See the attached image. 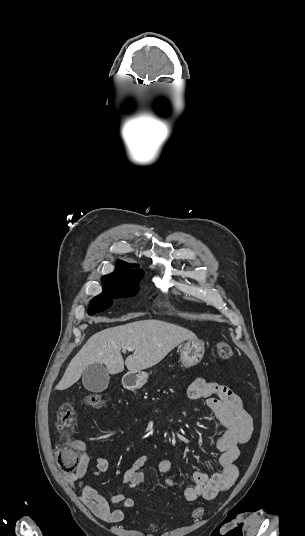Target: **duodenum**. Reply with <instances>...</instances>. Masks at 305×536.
<instances>
[{
  "instance_id": "1",
  "label": "duodenum",
  "mask_w": 305,
  "mask_h": 536,
  "mask_svg": "<svg viewBox=\"0 0 305 536\" xmlns=\"http://www.w3.org/2000/svg\"><path fill=\"white\" fill-rule=\"evenodd\" d=\"M137 383H138V380L136 377H132V378H129L126 380L125 384L127 385V387L129 388H134L135 386H137Z\"/></svg>"
}]
</instances>
